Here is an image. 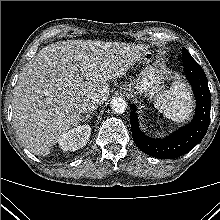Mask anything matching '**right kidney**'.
<instances>
[{"instance_id":"obj_1","label":"right kidney","mask_w":220,"mask_h":220,"mask_svg":"<svg viewBox=\"0 0 220 220\" xmlns=\"http://www.w3.org/2000/svg\"><path fill=\"white\" fill-rule=\"evenodd\" d=\"M91 135L89 125H79L63 133L59 139V148L63 151H75L86 145Z\"/></svg>"}]
</instances>
